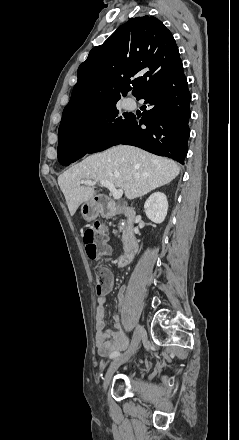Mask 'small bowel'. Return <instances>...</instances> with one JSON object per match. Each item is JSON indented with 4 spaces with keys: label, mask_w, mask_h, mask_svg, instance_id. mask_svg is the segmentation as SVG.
Here are the masks:
<instances>
[{
    "label": "small bowel",
    "mask_w": 239,
    "mask_h": 440,
    "mask_svg": "<svg viewBox=\"0 0 239 440\" xmlns=\"http://www.w3.org/2000/svg\"><path fill=\"white\" fill-rule=\"evenodd\" d=\"M109 275V284L106 290L99 294L96 307V347L101 356L111 355L113 352H120L128 347V338L121 325L119 315H114V327L112 330L105 329V305L106 294L112 288V275ZM125 288L119 289V298L122 299Z\"/></svg>",
    "instance_id": "small-bowel-1"
}]
</instances>
